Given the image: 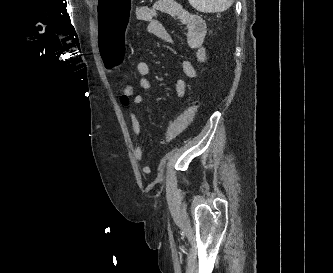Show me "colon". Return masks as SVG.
<instances>
[{"instance_id":"1","label":"colon","mask_w":333,"mask_h":273,"mask_svg":"<svg viewBox=\"0 0 333 273\" xmlns=\"http://www.w3.org/2000/svg\"><path fill=\"white\" fill-rule=\"evenodd\" d=\"M120 91L121 103L125 106L129 105L133 98L132 85L126 81H122L120 84ZM198 107L199 103L193 102L181 114H179L176 118L169 122L166 129L164 142H171L187 128L189 123L192 121Z\"/></svg>"}]
</instances>
